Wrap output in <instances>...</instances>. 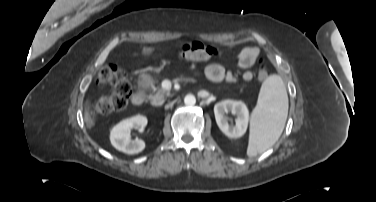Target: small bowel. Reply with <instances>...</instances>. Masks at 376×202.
<instances>
[{
	"mask_svg": "<svg viewBox=\"0 0 376 202\" xmlns=\"http://www.w3.org/2000/svg\"><path fill=\"white\" fill-rule=\"evenodd\" d=\"M259 55V50L255 47L244 48L239 55V65L244 69L241 75L242 80L250 81L252 73L249 68L254 64ZM203 72L205 76L213 82H234L237 77L230 71H226L220 64L213 63L204 67Z\"/></svg>",
	"mask_w": 376,
	"mask_h": 202,
	"instance_id": "small-bowel-1",
	"label": "small bowel"
}]
</instances>
